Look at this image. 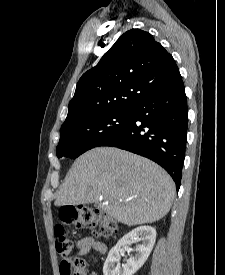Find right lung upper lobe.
<instances>
[{
    "label": "right lung upper lobe",
    "mask_w": 225,
    "mask_h": 275,
    "mask_svg": "<svg viewBox=\"0 0 225 275\" xmlns=\"http://www.w3.org/2000/svg\"><path fill=\"white\" fill-rule=\"evenodd\" d=\"M181 82L172 55L150 33L129 30L82 75L62 127L102 112L131 110L148 96Z\"/></svg>",
    "instance_id": "right-lung-upper-lobe-1"
}]
</instances>
